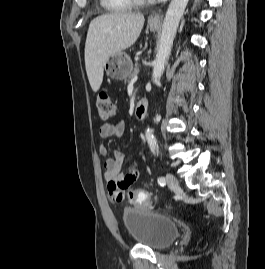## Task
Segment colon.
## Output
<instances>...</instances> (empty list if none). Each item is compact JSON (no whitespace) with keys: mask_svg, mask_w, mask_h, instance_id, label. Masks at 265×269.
Instances as JSON below:
<instances>
[{"mask_svg":"<svg viewBox=\"0 0 265 269\" xmlns=\"http://www.w3.org/2000/svg\"><path fill=\"white\" fill-rule=\"evenodd\" d=\"M96 106L98 111V116L102 121H108L112 119L116 114V107L109 96V94L105 91H102L96 100ZM120 193V190H118ZM129 201L137 206L147 207L151 204V195L142 190V189H134L128 193Z\"/></svg>","mask_w":265,"mask_h":269,"instance_id":"1","label":"colon"}]
</instances>
